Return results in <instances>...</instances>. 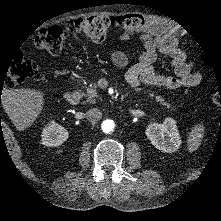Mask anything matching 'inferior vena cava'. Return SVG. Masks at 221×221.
Segmentation results:
<instances>
[{
	"instance_id": "602c4592",
	"label": "inferior vena cava",
	"mask_w": 221,
	"mask_h": 221,
	"mask_svg": "<svg viewBox=\"0 0 221 221\" xmlns=\"http://www.w3.org/2000/svg\"><path fill=\"white\" fill-rule=\"evenodd\" d=\"M86 118L91 123H97L102 119V112L98 108H91L86 112Z\"/></svg>"
}]
</instances>
